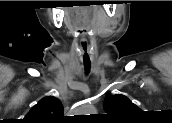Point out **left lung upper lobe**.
I'll return each instance as SVG.
<instances>
[{
    "label": "left lung upper lobe",
    "mask_w": 172,
    "mask_h": 123,
    "mask_svg": "<svg viewBox=\"0 0 172 123\" xmlns=\"http://www.w3.org/2000/svg\"><path fill=\"white\" fill-rule=\"evenodd\" d=\"M104 109L108 117L118 120L131 118L141 111L126 96L121 94H108L104 100Z\"/></svg>",
    "instance_id": "5c2ea615"
}]
</instances>
